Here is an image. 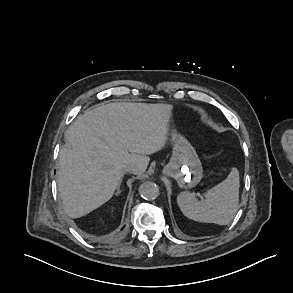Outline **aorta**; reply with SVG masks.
Returning <instances> with one entry per match:
<instances>
[{
	"mask_svg": "<svg viewBox=\"0 0 293 293\" xmlns=\"http://www.w3.org/2000/svg\"><path fill=\"white\" fill-rule=\"evenodd\" d=\"M139 193L143 199L153 200L158 196L159 190L154 182L146 181L140 185Z\"/></svg>",
	"mask_w": 293,
	"mask_h": 293,
	"instance_id": "aorta-1",
	"label": "aorta"
}]
</instances>
